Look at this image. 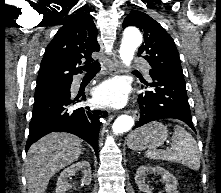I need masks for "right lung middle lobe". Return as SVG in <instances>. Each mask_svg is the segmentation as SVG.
<instances>
[{"label": "right lung middle lobe", "instance_id": "right-lung-middle-lobe-1", "mask_svg": "<svg viewBox=\"0 0 221 193\" xmlns=\"http://www.w3.org/2000/svg\"><path fill=\"white\" fill-rule=\"evenodd\" d=\"M68 87H69V83H59V84H54V85H49V86L36 87L35 95H38L40 93L46 92L51 89H66Z\"/></svg>", "mask_w": 221, "mask_h": 193}]
</instances>
